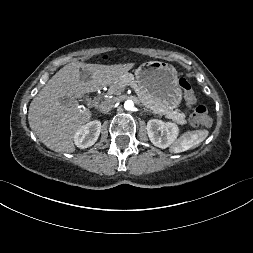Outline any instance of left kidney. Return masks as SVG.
<instances>
[{
    "instance_id": "left-kidney-1",
    "label": "left kidney",
    "mask_w": 253,
    "mask_h": 253,
    "mask_svg": "<svg viewBox=\"0 0 253 253\" xmlns=\"http://www.w3.org/2000/svg\"><path fill=\"white\" fill-rule=\"evenodd\" d=\"M147 133L150 141L157 147L165 149L177 138L179 128L175 123L151 119L147 123Z\"/></svg>"
}]
</instances>
